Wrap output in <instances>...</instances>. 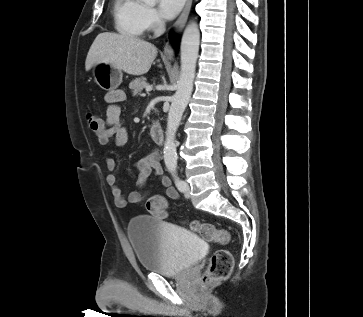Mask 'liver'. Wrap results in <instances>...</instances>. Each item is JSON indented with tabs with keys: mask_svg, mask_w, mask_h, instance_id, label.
I'll use <instances>...</instances> for the list:
<instances>
[{
	"mask_svg": "<svg viewBox=\"0 0 363 317\" xmlns=\"http://www.w3.org/2000/svg\"><path fill=\"white\" fill-rule=\"evenodd\" d=\"M157 56V48L138 37L100 33L92 43L85 61L89 71L97 63H108L130 75L147 73Z\"/></svg>",
	"mask_w": 363,
	"mask_h": 317,
	"instance_id": "6515ba94",
	"label": "liver"
}]
</instances>
